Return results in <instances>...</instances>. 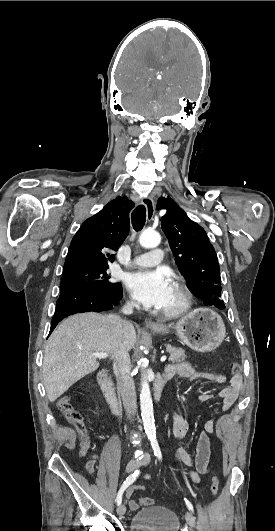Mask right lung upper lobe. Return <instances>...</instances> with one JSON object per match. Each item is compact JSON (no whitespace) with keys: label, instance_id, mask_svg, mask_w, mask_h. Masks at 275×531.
<instances>
[{"label":"right lung upper lobe","instance_id":"1","mask_svg":"<svg viewBox=\"0 0 275 531\" xmlns=\"http://www.w3.org/2000/svg\"><path fill=\"white\" fill-rule=\"evenodd\" d=\"M134 203L125 196L109 202L88 218L73 237L63 271L83 266H108L129 233V213Z\"/></svg>","mask_w":275,"mask_h":531}]
</instances>
